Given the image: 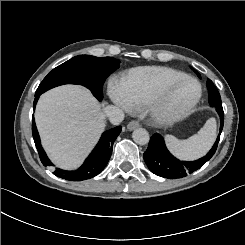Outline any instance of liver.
<instances>
[{
    "mask_svg": "<svg viewBox=\"0 0 245 245\" xmlns=\"http://www.w3.org/2000/svg\"><path fill=\"white\" fill-rule=\"evenodd\" d=\"M103 103L79 84H63L40 95L34 119L42 148L55 167L76 171L106 130Z\"/></svg>",
    "mask_w": 245,
    "mask_h": 245,
    "instance_id": "6515ba94",
    "label": "liver"
}]
</instances>
